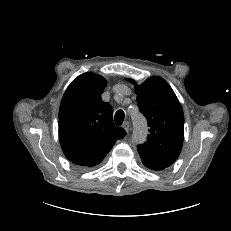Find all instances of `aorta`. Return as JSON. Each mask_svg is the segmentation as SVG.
Listing matches in <instances>:
<instances>
[{"instance_id": "obj_1", "label": "aorta", "mask_w": 231, "mask_h": 231, "mask_svg": "<svg viewBox=\"0 0 231 231\" xmlns=\"http://www.w3.org/2000/svg\"><path fill=\"white\" fill-rule=\"evenodd\" d=\"M134 126V140L139 143H143L147 137V123L145 118L140 114L136 113L132 116Z\"/></svg>"}]
</instances>
